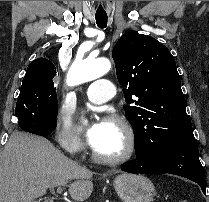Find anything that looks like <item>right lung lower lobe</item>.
Here are the masks:
<instances>
[{
	"label": "right lung lower lobe",
	"mask_w": 209,
	"mask_h": 202,
	"mask_svg": "<svg viewBox=\"0 0 209 202\" xmlns=\"http://www.w3.org/2000/svg\"><path fill=\"white\" fill-rule=\"evenodd\" d=\"M19 127L27 132L45 136L53 132L56 128L57 120L45 119L35 115H26L18 118Z\"/></svg>",
	"instance_id": "right-lung-lower-lobe-1"
}]
</instances>
